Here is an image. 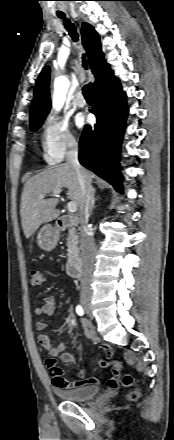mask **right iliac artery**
Listing matches in <instances>:
<instances>
[{
	"instance_id": "82829eb1",
	"label": "right iliac artery",
	"mask_w": 174,
	"mask_h": 440,
	"mask_svg": "<svg viewBox=\"0 0 174 440\" xmlns=\"http://www.w3.org/2000/svg\"><path fill=\"white\" fill-rule=\"evenodd\" d=\"M76 312H77V314L80 315V316H82V315L84 314V310H83V308H82L80 305H78V306L76 307Z\"/></svg>"
}]
</instances>
